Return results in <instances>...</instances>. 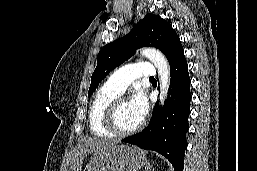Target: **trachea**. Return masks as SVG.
Listing matches in <instances>:
<instances>
[{
	"label": "trachea",
	"mask_w": 257,
	"mask_h": 171,
	"mask_svg": "<svg viewBox=\"0 0 257 171\" xmlns=\"http://www.w3.org/2000/svg\"><path fill=\"white\" fill-rule=\"evenodd\" d=\"M149 79H150V80H154V77H150Z\"/></svg>",
	"instance_id": "obj_1"
}]
</instances>
